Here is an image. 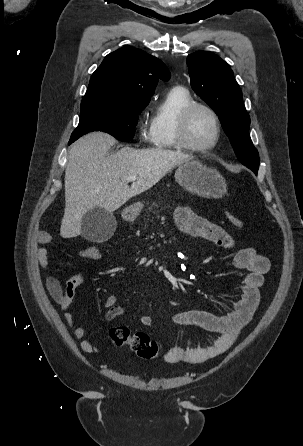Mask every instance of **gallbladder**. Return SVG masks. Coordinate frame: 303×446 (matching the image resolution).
Masks as SVG:
<instances>
[{"mask_svg":"<svg viewBox=\"0 0 303 446\" xmlns=\"http://www.w3.org/2000/svg\"><path fill=\"white\" fill-rule=\"evenodd\" d=\"M116 229V220L112 213L95 207L89 210L81 222V235L93 242L109 239Z\"/></svg>","mask_w":303,"mask_h":446,"instance_id":"obj_1","label":"gallbladder"}]
</instances>
